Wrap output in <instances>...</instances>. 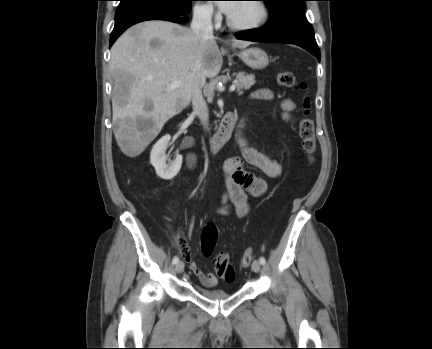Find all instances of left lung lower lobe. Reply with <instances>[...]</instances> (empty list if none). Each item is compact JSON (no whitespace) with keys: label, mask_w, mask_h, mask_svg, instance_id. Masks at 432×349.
<instances>
[{"label":"left lung lower lobe","mask_w":432,"mask_h":349,"mask_svg":"<svg viewBox=\"0 0 432 349\" xmlns=\"http://www.w3.org/2000/svg\"><path fill=\"white\" fill-rule=\"evenodd\" d=\"M236 38L255 42L294 44L306 49L320 61L314 30L307 21L277 20L258 29L240 31L236 33Z\"/></svg>","instance_id":"obj_1"}]
</instances>
